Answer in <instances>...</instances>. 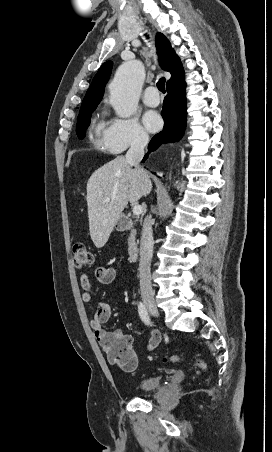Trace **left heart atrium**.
I'll use <instances>...</instances> for the list:
<instances>
[{"mask_svg":"<svg viewBox=\"0 0 272 452\" xmlns=\"http://www.w3.org/2000/svg\"><path fill=\"white\" fill-rule=\"evenodd\" d=\"M143 122L150 132H157L162 127V119L155 111H147L143 116Z\"/></svg>","mask_w":272,"mask_h":452,"instance_id":"left-heart-atrium-1","label":"left heart atrium"}]
</instances>
